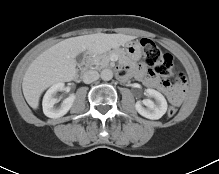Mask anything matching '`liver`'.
I'll return each mask as SVG.
<instances>
[{
	"label": "liver",
	"instance_id": "obj_1",
	"mask_svg": "<svg viewBox=\"0 0 219 174\" xmlns=\"http://www.w3.org/2000/svg\"><path fill=\"white\" fill-rule=\"evenodd\" d=\"M135 36L96 33L65 39L41 53L28 67L22 82L24 97L33 109L44 90L76 76V57L82 52L97 55L124 46Z\"/></svg>",
	"mask_w": 219,
	"mask_h": 174
}]
</instances>
